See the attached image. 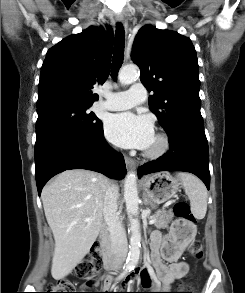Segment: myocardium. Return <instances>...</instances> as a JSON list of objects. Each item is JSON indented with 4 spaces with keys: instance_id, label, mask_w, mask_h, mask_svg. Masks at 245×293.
<instances>
[{
    "instance_id": "myocardium-1",
    "label": "myocardium",
    "mask_w": 245,
    "mask_h": 293,
    "mask_svg": "<svg viewBox=\"0 0 245 293\" xmlns=\"http://www.w3.org/2000/svg\"><path fill=\"white\" fill-rule=\"evenodd\" d=\"M155 138L158 141V147L155 149H147L144 151V155L149 158H159L166 154L170 149V138L164 132H158L155 135Z\"/></svg>"
}]
</instances>
